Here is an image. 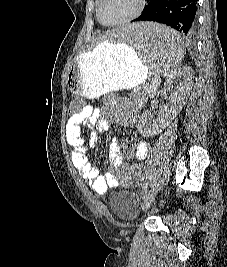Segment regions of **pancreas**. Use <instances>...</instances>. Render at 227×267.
<instances>
[{"mask_svg": "<svg viewBox=\"0 0 227 267\" xmlns=\"http://www.w3.org/2000/svg\"><path fill=\"white\" fill-rule=\"evenodd\" d=\"M143 89H144L145 91H148V92H149V91L152 89V87L149 86L148 84H145L144 87H143Z\"/></svg>", "mask_w": 227, "mask_h": 267, "instance_id": "cf45deb5", "label": "pancreas"}]
</instances>
